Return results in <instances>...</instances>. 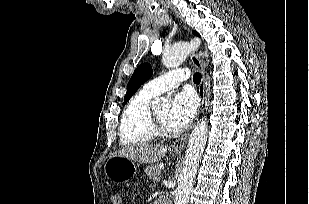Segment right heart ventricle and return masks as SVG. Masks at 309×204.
<instances>
[{
    "label": "right heart ventricle",
    "instance_id": "1",
    "mask_svg": "<svg viewBox=\"0 0 309 204\" xmlns=\"http://www.w3.org/2000/svg\"><path fill=\"white\" fill-rule=\"evenodd\" d=\"M154 95L141 90L127 103L121 116L119 133L123 145L152 141L157 132L150 121V103Z\"/></svg>",
    "mask_w": 309,
    "mask_h": 204
}]
</instances>
